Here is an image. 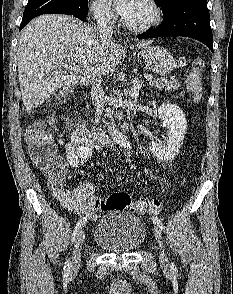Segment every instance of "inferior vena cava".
I'll list each match as a JSON object with an SVG mask.
<instances>
[{
    "instance_id": "602c4592",
    "label": "inferior vena cava",
    "mask_w": 233,
    "mask_h": 294,
    "mask_svg": "<svg viewBox=\"0 0 233 294\" xmlns=\"http://www.w3.org/2000/svg\"><path fill=\"white\" fill-rule=\"evenodd\" d=\"M95 18L97 20V34L103 41H110L112 39V27L109 15V9L107 7H101L96 13ZM102 74L95 72L92 79L91 98L93 105L95 106V120L100 122L104 105H105V93L102 87Z\"/></svg>"
}]
</instances>
